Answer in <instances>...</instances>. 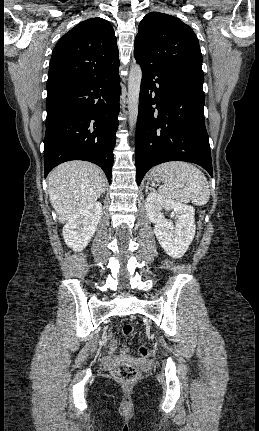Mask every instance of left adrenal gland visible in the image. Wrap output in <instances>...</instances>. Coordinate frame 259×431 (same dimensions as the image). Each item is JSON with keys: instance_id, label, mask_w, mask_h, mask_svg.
Wrapping results in <instances>:
<instances>
[{"instance_id": "left-adrenal-gland-1", "label": "left adrenal gland", "mask_w": 259, "mask_h": 431, "mask_svg": "<svg viewBox=\"0 0 259 431\" xmlns=\"http://www.w3.org/2000/svg\"><path fill=\"white\" fill-rule=\"evenodd\" d=\"M148 189H149V186H148V184H146V186H145V192L146 193L148 192Z\"/></svg>"}]
</instances>
